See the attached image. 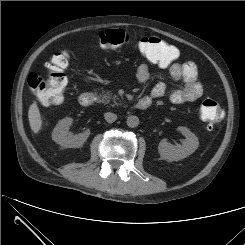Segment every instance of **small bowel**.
<instances>
[{"label": "small bowel", "instance_id": "1", "mask_svg": "<svg viewBox=\"0 0 245 245\" xmlns=\"http://www.w3.org/2000/svg\"><path fill=\"white\" fill-rule=\"evenodd\" d=\"M168 72L173 80L182 84L168 91L163 82H158L146 97L160 98L168 92V99L174 104H186L199 99L203 87L199 80L198 68L193 62L173 63L168 66ZM136 77L139 83H146L150 78L149 66L145 63L137 68Z\"/></svg>", "mask_w": 245, "mask_h": 245}]
</instances>
